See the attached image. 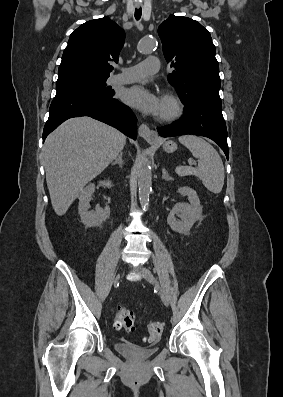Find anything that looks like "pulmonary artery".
Wrapping results in <instances>:
<instances>
[{"label": "pulmonary artery", "instance_id": "1", "mask_svg": "<svg viewBox=\"0 0 283 397\" xmlns=\"http://www.w3.org/2000/svg\"><path fill=\"white\" fill-rule=\"evenodd\" d=\"M159 68V59L155 56H151L137 65L123 68L119 74L110 77L109 82L111 84H126L136 82L146 76L157 73Z\"/></svg>", "mask_w": 283, "mask_h": 397}]
</instances>
